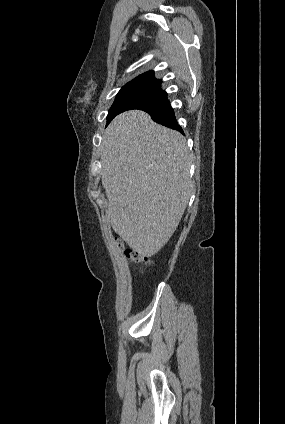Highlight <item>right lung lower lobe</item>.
Instances as JSON below:
<instances>
[{
  "instance_id": "98d812e1",
  "label": "right lung lower lobe",
  "mask_w": 285,
  "mask_h": 424,
  "mask_svg": "<svg viewBox=\"0 0 285 424\" xmlns=\"http://www.w3.org/2000/svg\"><path fill=\"white\" fill-rule=\"evenodd\" d=\"M132 109L143 110L147 112L155 122L183 133L176 121L174 110L167 98V93L162 89L142 99L133 101L124 111Z\"/></svg>"
}]
</instances>
